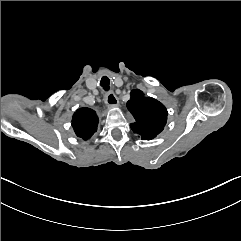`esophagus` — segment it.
Listing matches in <instances>:
<instances>
[{"instance_id":"esophagus-1","label":"esophagus","mask_w":241,"mask_h":241,"mask_svg":"<svg viewBox=\"0 0 241 241\" xmlns=\"http://www.w3.org/2000/svg\"><path fill=\"white\" fill-rule=\"evenodd\" d=\"M104 101L110 107H114V106H118L119 105L118 99H117L116 95L112 91L108 92L105 95Z\"/></svg>"}]
</instances>
